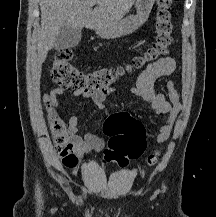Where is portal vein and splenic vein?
I'll list each match as a JSON object with an SVG mask.
<instances>
[{
	"instance_id": "18ae733b",
	"label": "portal vein and splenic vein",
	"mask_w": 216,
	"mask_h": 217,
	"mask_svg": "<svg viewBox=\"0 0 216 217\" xmlns=\"http://www.w3.org/2000/svg\"><path fill=\"white\" fill-rule=\"evenodd\" d=\"M94 3H97V0H94Z\"/></svg>"
}]
</instances>
